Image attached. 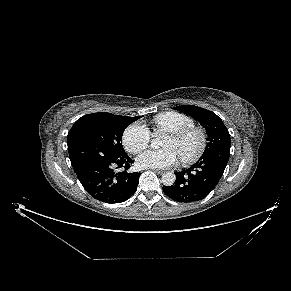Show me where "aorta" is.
I'll return each mask as SVG.
<instances>
[{
    "instance_id": "aorta-1",
    "label": "aorta",
    "mask_w": 291,
    "mask_h": 291,
    "mask_svg": "<svg viewBox=\"0 0 291 291\" xmlns=\"http://www.w3.org/2000/svg\"><path fill=\"white\" fill-rule=\"evenodd\" d=\"M160 145V141L157 139H154L151 141V146L153 148H158ZM176 176L173 172H166L162 175V182L165 186H171L175 183Z\"/></svg>"
}]
</instances>
